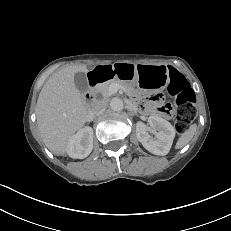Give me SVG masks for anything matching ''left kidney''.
Instances as JSON below:
<instances>
[{"instance_id":"left-kidney-1","label":"left kidney","mask_w":231,"mask_h":231,"mask_svg":"<svg viewBox=\"0 0 231 231\" xmlns=\"http://www.w3.org/2000/svg\"><path fill=\"white\" fill-rule=\"evenodd\" d=\"M148 123L152 130L157 131L155 138L147 132V127L143 122L136 124V136L143 147L155 155L168 154L173 139L175 137L174 127L165 119L158 116H150Z\"/></svg>"}]
</instances>
